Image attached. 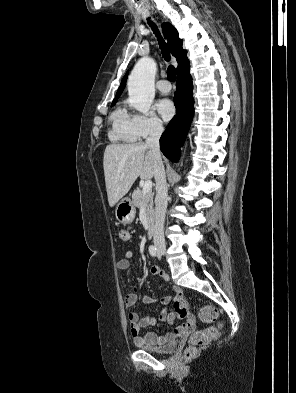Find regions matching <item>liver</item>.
I'll return each instance as SVG.
<instances>
[{
	"label": "liver",
	"instance_id": "obj_1",
	"mask_svg": "<svg viewBox=\"0 0 296 393\" xmlns=\"http://www.w3.org/2000/svg\"><path fill=\"white\" fill-rule=\"evenodd\" d=\"M155 156L143 142L111 144L104 152L103 167L110 207H113L132 187L135 180L154 176Z\"/></svg>",
	"mask_w": 296,
	"mask_h": 393
}]
</instances>
